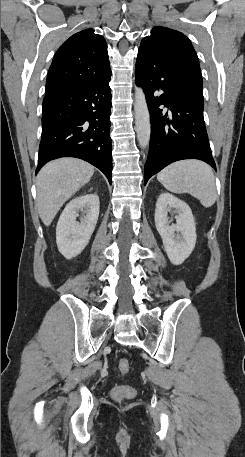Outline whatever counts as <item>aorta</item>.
<instances>
[{
  "mask_svg": "<svg viewBox=\"0 0 245 457\" xmlns=\"http://www.w3.org/2000/svg\"><path fill=\"white\" fill-rule=\"evenodd\" d=\"M134 111L137 140L142 148H146L150 142L151 124L145 93L141 87L135 88Z\"/></svg>",
  "mask_w": 245,
  "mask_h": 457,
  "instance_id": "aorta-1",
  "label": "aorta"
}]
</instances>
